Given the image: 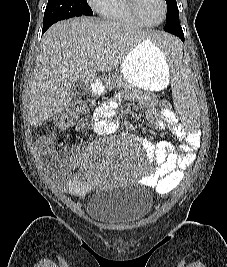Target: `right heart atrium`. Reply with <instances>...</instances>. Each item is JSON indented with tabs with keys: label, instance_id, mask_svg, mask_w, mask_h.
Wrapping results in <instances>:
<instances>
[{
	"label": "right heart atrium",
	"instance_id": "obj_1",
	"mask_svg": "<svg viewBox=\"0 0 227 267\" xmlns=\"http://www.w3.org/2000/svg\"><path fill=\"white\" fill-rule=\"evenodd\" d=\"M104 0H87V2L92 6L94 10H96Z\"/></svg>",
	"mask_w": 227,
	"mask_h": 267
}]
</instances>
